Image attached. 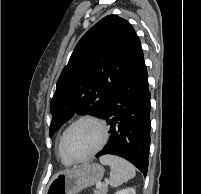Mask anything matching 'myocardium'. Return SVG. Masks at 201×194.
Returning a JSON list of instances; mask_svg holds the SVG:
<instances>
[{
  "label": "myocardium",
  "instance_id": "myocardium-1",
  "mask_svg": "<svg viewBox=\"0 0 201 194\" xmlns=\"http://www.w3.org/2000/svg\"><path fill=\"white\" fill-rule=\"evenodd\" d=\"M81 122H91V123L96 124L100 129L101 139H100V142L97 145V147L93 151H91L89 154H87L83 157L73 158V157L68 156L65 153L64 141H65L66 135L70 131V129ZM108 136H109L108 127L103 119H101L100 117L94 116V115L80 116L77 119L73 120L63 131V133L60 137V141H59L60 154L62 155V157L64 159H66L67 161H69L71 163H80V162L87 161V160L91 159L92 157H94L97 153H99L103 149V147L107 143Z\"/></svg>",
  "mask_w": 201,
  "mask_h": 194
}]
</instances>
